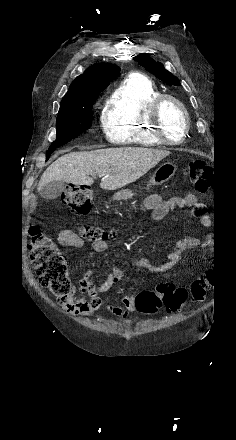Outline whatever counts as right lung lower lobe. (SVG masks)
<instances>
[{
  "label": "right lung lower lobe",
  "mask_w": 236,
  "mask_h": 440,
  "mask_svg": "<svg viewBox=\"0 0 236 440\" xmlns=\"http://www.w3.org/2000/svg\"><path fill=\"white\" fill-rule=\"evenodd\" d=\"M54 150H55V149H49V150L47 151V154H46V160L49 159L50 155L52 154V152H53Z\"/></svg>",
  "instance_id": "right-lung-lower-lobe-1"
}]
</instances>
